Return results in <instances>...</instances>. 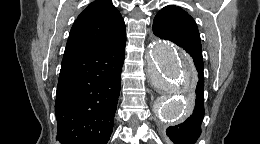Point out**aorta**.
I'll list each match as a JSON object with an SVG mask.
<instances>
[{
    "label": "aorta",
    "instance_id": "aorta-1",
    "mask_svg": "<svg viewBox=\"0 0 260 144\" xmlns=\"http://www.w3.org/2000/svg\"><path fill=\"white\" fill-rule=\"evenodd\" d=\"M148 58L153 86L170 91L156 100L160 118H184L189 112L186 91L193 74L189 56L171 42L157 39L149 47Z\"/></svg>",
    "mask_w": 260,
    "mask_h": 144
}]
</instances>
